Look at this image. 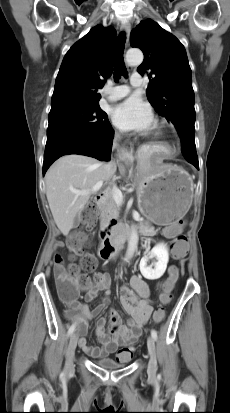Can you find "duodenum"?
<instances>
[{"label": "duodenum", "mask_w": 230, "mask_h": 413, "mask_svg": "<svg viewBox=\"0 0 230 413\" xmlns=\"http://www.w3.org/2000/svg\"><path fill=\"white\" fill-rule=\"evenodd\" d=\"M105 190L96 195L97 204H102L106 198ZM124 229L115 222L108 223L103 230V239L99 248V255L102 259L113 257L119 250L120 245L126 240L127 236L123 233Z\"/></svg>", "instance_id": "1"}]
</instances>
